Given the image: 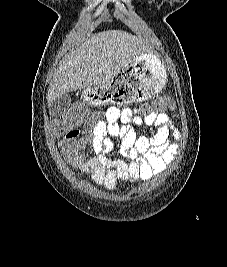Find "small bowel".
<instances>
[{"label": "small bowel", "instance_id": "obj_1", "mask_svg": "<svg viewBox=\"0 0 227 267\" xmlns=\"http://www.w3.org/2000/svg\"><path fill=\"white\" fill-rule=\"evenodd\" d=\"M138 125H146L149 134L139 135L134 129ZM62 136L59 146L66 160L96 185L113 191L120 181H147L161 174L178 152L180 131L166 113L109 106L93 126H77ZM111 137L121 139L123 159L107 157L114 147ZM87 146L91 152L84 151Z\"/></svg>", "mask_w": 227, "mask_h": 267}]
</instances>
